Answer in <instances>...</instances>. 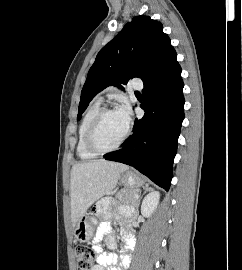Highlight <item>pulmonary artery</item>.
<instances>
[{"label":"pulmonary artery","mask_w":242,"mask_h":270,"mask_svg":"<svg viewBox=\"0 0 242 270\" xmlns=\"http://www.w3.org/2000/svg\"><path fill=\"white\" fill-rule=\"evenodd\" d=\"M130 87L136 90H140L143 87V83L141 80H135L130 84Z\"/></svg>","instance_id":"obj_1"}]
</instances>
